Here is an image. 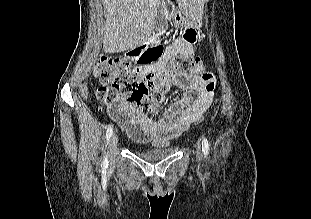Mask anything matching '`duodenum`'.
<instances>
[{
  "label": "duodenum",
  "mask_w": 311,
  "mask_h": 219,
  "mask_svg": "<svg viewBox=\"0 0 311 219\" xmlns=\"http://www.w3.org/2000/svg\"><path fill=\"white\" fill-rule=\"evenodd\" d=\"M166 10H167V11H170V7H167ZM144 47H145V46H144Z\"/></svg>",
  "instance_id": "duodenum-1"
}]
</instances>
